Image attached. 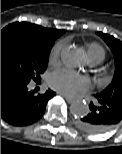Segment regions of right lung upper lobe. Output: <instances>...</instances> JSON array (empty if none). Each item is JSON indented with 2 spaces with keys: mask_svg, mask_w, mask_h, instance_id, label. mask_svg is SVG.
Returning a JSON list of instances; mask_svg holds the SVG:
<instances>
[{
  "mask_svg": "<svg viewBox=\"0 0 122 154\" xmlns=\"http://www.w3.org/2000/svg\"><path fill=\"white\" fill-rule=\"evenodd\" d=\"M28 26L40 37L44 39H56L64 33V30L43 28L39 25L27 23Z\"/></svg>",
  "mask_w": 122,
  "mask_h": 154,
  "instance_id": "right-lung-upper-lobe-1",
  "label": "right lung upper lobe"
}]
</instances>
